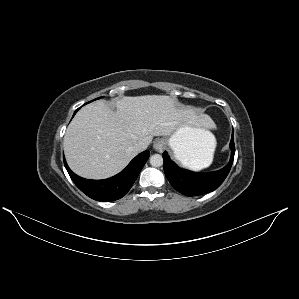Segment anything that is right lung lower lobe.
<instances>
[{
	"mask_svg": "<svg viewBox=\"0 0 299 299\" xmlns=\"http://www.w3.org/2000/svg\"><path fill=\"white\" fill-rule=\"evenodd\" d=\"M149 156L148 150L140 153L122 172L104 180H88L79 177L70 170L65 158L64 165L72 181L84 194L94 200L106 202L120 199L130 190Z\"/></svg>",
	"mask_w": 299,
	"mask_h": 299,
	"instance_id": "obj_1",
	"label": "right lung lower lobe"
}]
</instances>
